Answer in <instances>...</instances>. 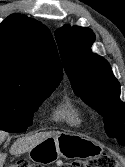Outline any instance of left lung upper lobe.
<instances>
[{"mask_svg": "<svg viewBox=\"0 0 125 167\" xmlns=\"http://www.w3.org/2000/svg\"><path fill=\"white\" fill-rule=\"evenodd\" d=\"M64 69L74 92L104 119L106 134L125 145V103L120 84L108 62L90 51L95 40L91 29L64 26L55 31Z\"/></svg>", "mask_w": 125, "mask_h": 167, "instance_id": "1", "label": "left lung upper lobe"}]
</instances>
